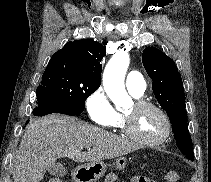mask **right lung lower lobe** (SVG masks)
<instances>
[{
    "label": "right lung lower lobe",
    "instance_id": "obj_1",
    "mask_svg": "<svg viewBox=\"0 0 211 182\" xmlns=\"http://www.w3.org/2000/svg\"><path fill=\"white\" fill-rule=\"evenodd\" d=\"M37 106L33 110L35 116H44L50 113H62L67 115H79L63 103L52 97H37Z\"/></svg>",
    "mask_w": 211,
    "mask_h": 182
}]
</instances>
